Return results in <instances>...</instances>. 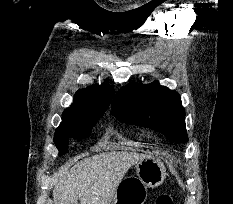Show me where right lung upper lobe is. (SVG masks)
Masks as SVG:
<instances>
[{
  "label": "right lung upper lobe",
  "mask_w": 233,
  "mask_h": 204,
  "mask_svg": "<svg viewBox=\"0 0 233 204\" xmlns=\"http://www.w3.org/2000/svg\"><path fill=\"white\" fill-rule=\"evenodd\" d=\"M114 89L110 86L94 85L76 92L74 102L62 114V122L57 129L81 119L103 115L112 97Z\"/></svg>",
  "instance_id": "cb5924a9"
}]
</instances>
